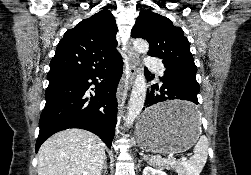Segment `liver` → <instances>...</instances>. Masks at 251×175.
<instances>
[{"label": "liver", "mask_w": 251, "mask_h": 175, "mask_svg": "<svg viewBox=\"0 0 251 175\" xmlns=\"http://www.w3.org/2000/svg\"><path fill=\"white\" fill-rule=\"evenodd\" d=\"M104 149L103 141L91 131H58L38 151V175H101Z\"/></svg>", "instance_id": "6515ba94"}]
</instances>
